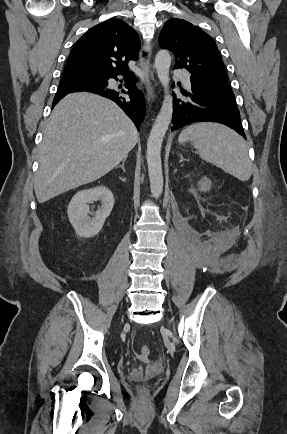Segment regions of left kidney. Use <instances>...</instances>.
I'll return each mask as SVG.
<instances>
[{"instance_id":"obj_1","label":"left kidney","mask_w":287,"mask_h":434,"mask_svg":"<svg viewBox=\"0 0 287 434\" xmlns=\"http://www.w3.org/2000/svg\"><path fill=\"white\" fill-rule=\"evenodd\" d=\"M211 185H212L211 180H209L207 177H204L199 182V190L204 192L209 191Z\"/></svg>"}]
</instances>
